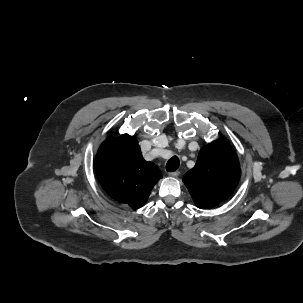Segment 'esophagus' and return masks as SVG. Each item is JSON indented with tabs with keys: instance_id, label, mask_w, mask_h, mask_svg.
I'll list each match as a JSON object with an SVG mask.
<instances>
[{
	"instance_id": "esophagus-1",
	"label": "esophagus",
	"mask_w": 303,
	"mask_h": 303,
	"mask_svg": "<svg viewBox=\"0 0 303 303\" xmlns=\"http://www.w3.org/2000/svg\"><path fill=\"white\" fill-rule=\"evenodd\" d=\"M180 174L179 171H174V172H171L169 175L172 176V177H178Z\"/></svg>"
}]
</instances>
